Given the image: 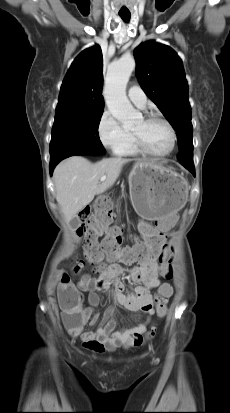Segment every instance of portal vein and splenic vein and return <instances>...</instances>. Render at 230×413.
I'll list each match as a JSON object with an SVG mask.
<instances>
[{
	"label": "portal vein and splenic vein",
	"mask_w": 230,
	"mask_h": 413,
	"mask_svg": "<svg viewBox=\"0 0 230 413\" xmlns=\"http://www.w3.org/2000/svg\"><path fill=\"white\" fill-rule=\"evenodd\" d=\"M106 180V176H102L100 181H105Z\"/></svg>",
	"instance_id": "obj_1"
}]
</instances>
